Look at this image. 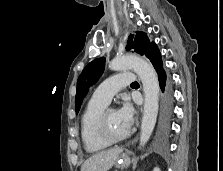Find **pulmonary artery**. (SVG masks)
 <instances>
[{"label": "pulmonary artery", "instance_id": "obj_1", "mask_svg": "<svg viewBox=\"0 0 223 171\" xmlns=\"http://www.w3.org/2000/svg\"><path fill=\"white\" fill-rule=\"evenodd\" d=\"M134 79L135 76L131 72L114 75L106 79L95 89L92 99L107 105L123 87L130 85Z\"/></svg>", "mask_w": 223, "mask_h": 171}]
</instances>
